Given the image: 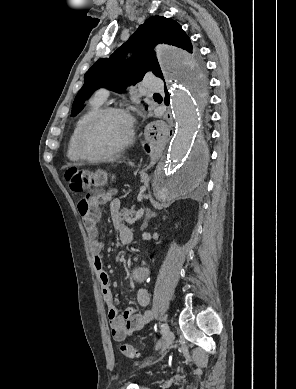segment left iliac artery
Segmentation results:
<instances>
[{"label":"left iliac artery","instance_id":"left-iliac-artery-1","mask_svg":"<svg viewBox=\"0 0 296 389\" xmlns=\"http://www.w3.org/2000/svg\"><path fill=\"white\" fill-rule=\"evenodd\" d=\"M168 330H169V326L167 324H162L161 325V333H162L163 336L166 335Z\"/></svg>","mask_w":296,"mask_h":389}]
</instances>
